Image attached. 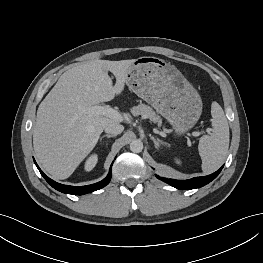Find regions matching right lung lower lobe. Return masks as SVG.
<instances>
[{
    "instance_id": "obj_1",
    "label": "right lung lower lobe",
    "mask_w": 263,
    "mask_h": 263,
    "mask_svg": "<svg viewBox=\"0 0 263 263\" xmlns=\"http://www.w3.org/2000/svg\"><path fill=\"white\" fill-rule=\"evenodd\" d=\"M35 162V161H34ZM37 168L39 169L41 175L44 177V179L56 190L66 193V194H73V195H83V194H87L96 190H99L101 188H103L104 186H106L111 179V172H109L108 176L103 179L102 181L95 183V184H91V185H87V186H69V185H63L60 183H57L55 181H53L52 179H50L49 177H47L42 170L39 168V166L37 165V163L35 162Z\"/></svg>"
}]
</instances>
